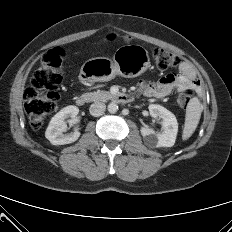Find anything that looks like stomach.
Wrapping results in <instances>:
<instances>
[{
	"mask_svg": "<svg viewBox=\"0 0 232 232\" xmlns=\"http://www.w3.org/2000/svg\"><path fill=\"white\" fill-rule=\"evenodd\" d=\"M150 67L148 51L140 45H124L119 47L113 59L96 57L87 60L81 67L80 75L88 82H105L115 78L135 77Z\"/></svg>",
	"mask_w": 232,
	"mask_h": 232,
	"instance_id": "stomach-1",
	"label": "stomach"
}]
</instances>
